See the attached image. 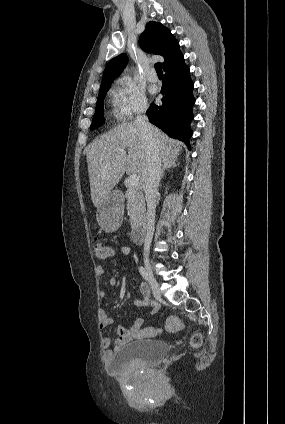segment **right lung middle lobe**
<instances>
[{
	"mask_svg": "<svg viewBox=\"0 0 285 424\" xmlns=\"http://www.w3.org/2000/svg\"><path fill=\"white\" fill-rule=\"evenodd\" d=\"M109 88H110V86H105V87L100 88V90H99L95 114H94V117H93L92 124L90 126L91 130L104 124L105 119H104V115H103V111H104L103 102H104L105 95H106L107 91L109 90Z\"/></svg>",
	"mask_w": 285,
	"mask_h": 424,
	"instance_id": "dd1d6c3e",
	"label": "right lung middle lobe"
}]
</instances>
